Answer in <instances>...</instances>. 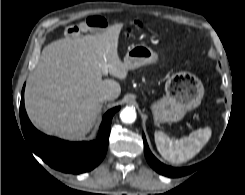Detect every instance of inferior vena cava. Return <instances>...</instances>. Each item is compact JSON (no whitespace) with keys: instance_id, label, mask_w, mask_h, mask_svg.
<instances>
[{"instance_id":"602c4592","label":"inferior vena cava","mask_w":245,"mask_h":195,"mask_svg":"<svg viewBox=\"0 0 245 195\" xmlns=\"http://www.w3.org/2000/svg\"><path fill=\"white\" fill-rule=\"evenodd\" d=\"M112 99V96L110 94H103L101 97H100V100L101 101H105V100H111Z\"/></svg>"}]
</instances>
